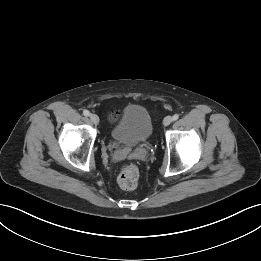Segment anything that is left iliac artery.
I'll list each match as a JSON object with an SVG mask.
<instances>
[{"label":"left iliac artery","instance_id":"44dca946","mask_svg":"<svg viewBox=\"0 0 261 261\" xmlns=\"http://www.w3.org/2000/svg\"><path fill=\"white\" fill-rule=\"evenodd\" d=\"M178 118H179V115H178V114H175V115H173L172 120L175 121V120H177Z\"/></svg>","mask_w":261,"mask_h":261}]
</instances>
